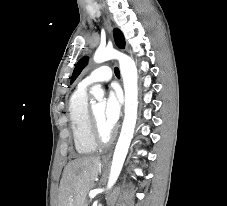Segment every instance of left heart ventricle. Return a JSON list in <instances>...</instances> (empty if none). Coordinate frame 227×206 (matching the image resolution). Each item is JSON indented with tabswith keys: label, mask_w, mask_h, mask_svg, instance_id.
Here are the masks:
<instances>
[{
	"label": "left heart ventricle",
	"mask_w": 227,
	"mask_h": 206,
	"mask_svg": "<svg viewBox=\"0 0 227 206\" xmlns=\"http://www.w3.org/2000/svg\"><path fill=\"white\" fill-rule=\"evenodd\" d=\"M104 108H105L104 102H99L93 106V111L96 116L102 135L106 136L108 135L110 130L107 128V126L104 123Z\"/></svg>",
	"instance_id": "1"
}]
</instances>
